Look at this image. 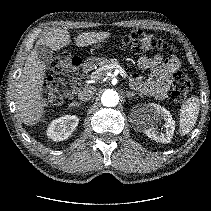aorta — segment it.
I'll list each match as a JSON object with an SVG mask.
<instances>
[{
	"label": "aorta",
	"mask_w": 211,
	"mask_h": 211,
	"mask_svg": "<svg viewBox=\"0 0 211 211\" xmlns=\"http://www.w3.org/2000/svg\"><path fill=\"white\" fill-rule=\"evenodd\" d=\"M119 102V95L113 89H107L102 93L101 103L106 107H114Z\"/></svg>",
	"instance_id": "obj_1"
}]
</instances>
